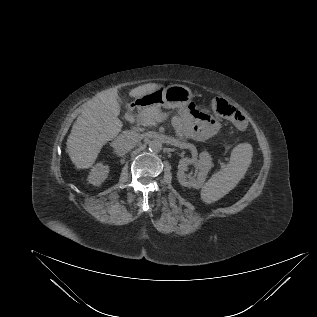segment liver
I'll list each match as a JSON object with an SVG mask.
<instances>
[{
	"instance_id": "6515ba94",
	"label": "liver",
	"mask_w": 317,
	"mask_h": 317,
	"mask_svg": "<svg viewBox=\"0 0 317 317\" xmlns=\"http://www.w3.org/2000/svg\"><path fill=\"white\" fill-rule=\"evenodd\" d=\"M161 87L148 83L132 89L129 96L137 99ZM117 91L118 88L114 87L99 92L74 122L67 139L66 152L77 169L92 167L101 148L120 133L122 122L118 116L121 107Z\"/></svg>"
}]
</instances>
